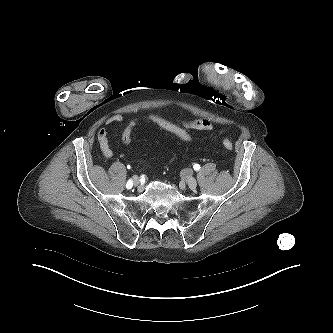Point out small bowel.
Wrapping results in <instances>:
<instances>
[{"label":"small bowel","instance_id":"obj_1","mask_svg":"<svg viewBox=\"0 0 333 333\" xmlns=\"http://www.w3.org/2000/svg\"><path fill=\"white\" fill-rule=\"evenodd\" d=\"M123 116L120 114H114L110 116L106 120V125H117L122 123ZM176 123L187 130H195V131H205L210 132L213 129V125L211 121L207 119H198V120H192V121H186V120H179L176 119ZM97 139L100 145V149L103 153V155L107 158L111 157L113 155V152L109 146L108 143V134L105 128H101L97 133Z\"/></svg>","mask_w":333,"mask_h":333}]
</instances>
